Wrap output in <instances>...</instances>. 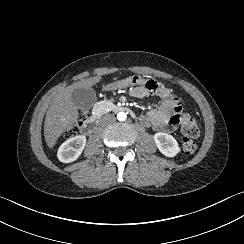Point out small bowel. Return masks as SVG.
Segmentation results:
<instances>
[{
  "mask_svg": "<svg viewBox=\"0 0 244 244\" xmlns=\"http://www.w3.org/2000/svg\"><path fill=\"white\" fill-rule=\"evenodd\" d=\"M128 92L135 98H145L151 94L156 95L158 98L157 109L138 116V121L142 126H153L158 131L166 132L172 125L177 123L182 105L169 87L156 81L153 85L136 87Z\"/></svg>",
  "mask_w": 244,
  "mask_h": 244,
  "instance_id": "c3829d8e",
  "label": "small bowel"
}]
</instances>
